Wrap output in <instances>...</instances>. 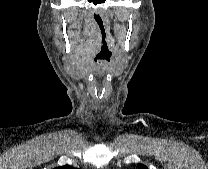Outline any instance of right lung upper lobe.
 <instances>
[{
    "label": "right lung upper lobe",
    "instance_id": "right-lung-upper-lobe-1",
    "mask_svg": "<svg viewBox=\"0 0 208 169\" xmlns=\"http://www.w3.org/2000/svg\"><path fill=\"white\" fill-rule=\"evenodd\" d=\"M54 169H77V168H73L72 166L70 165H65V166H60V167H56Z\"/></svg>",
    "mask_w": 208,
    "mask_h": 169
}]
</instances>
